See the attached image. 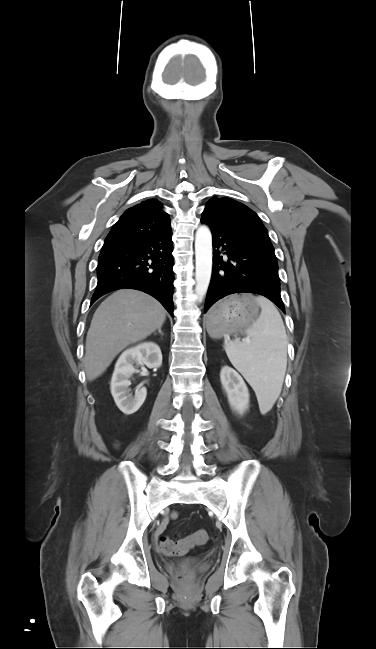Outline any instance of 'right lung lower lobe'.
<instances>
[{
    "label": "right lung lower lobe",
    "mask_w": 376,
    "mask_h": 649,
    "mask_svg": "<svg viewBox=\"0 0 376 649\" xmlns=\"http://www.w3.org/2000/svg\"><path fill=\"white\" fill-rule=\"evenodd\" d=\"M171 229L122 246L102 249L98 282L91 304L104 294L122 288L155 297L173 317L174 272Z\"/></svg>",
    "instance_id": "98d812e1"
}]
</instances>
